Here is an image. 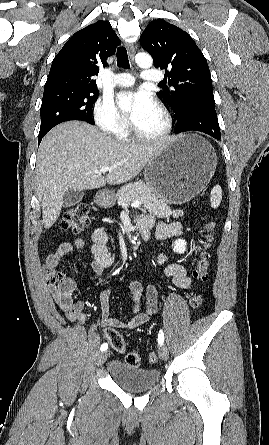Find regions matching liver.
I'll use <instances>...</instances> for the list:
<instances>
[{
    "label": "liver",
    "mask_w": 269,
    "mask_h": 445,
    "mask_svg": "<svg viewBox=\"0 0 269 445\" xmlns=\"http://www.w3.org/2000/svg\"><path fill=\"white\" fill-rule=\"evenodd\" d=\"M166 144H126L81 121L65 122L42 140L36 164V190L42 222L49 229L61 213L64 194L132 180ZM108 166L106 177L100 172Z\"/></svg>",
    "instance_id": "1"
}]
</instances>
